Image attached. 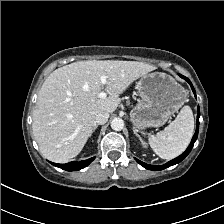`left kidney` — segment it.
Segmentation results:
<instances>
[{
	"label": "left kidney",
	"instance_id": "1",
	"mask_svg": "<svg viewBox=\"0 0 224 224\" xmlns=\"http://www.w3.org/2000/svg\"><path fill=\"white\" fill-rule=\"evenodd\" d=\"M141 142H142V145L145 147L146 145H145V142H143L142 140H141Z\"/></svg>",
	"mask_w": 224,
	"mask_h": 224
}]
</instances>
